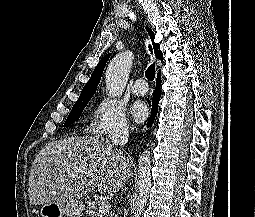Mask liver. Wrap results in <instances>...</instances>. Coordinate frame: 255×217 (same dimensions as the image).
Here are the masks:
<instances>
[{
  "instance_id": "obj_1",
  "label": "liver",
  "mask_w": 255,
  "mask_h": 217,
  "mask_svg": "<svg viewBox=\"0 0 255 217\" xmlns=\"http://www.w3.org/2000/svg\"><path fill=\"white\" fill-rule=\"evenodd\" d=\"M131 173L129 158L100 136L70 137L49 143L32 164L28 193L32 204L81 199L98 188L118 192Z\"/></svg>"
}]
</instances>
